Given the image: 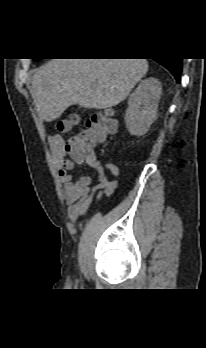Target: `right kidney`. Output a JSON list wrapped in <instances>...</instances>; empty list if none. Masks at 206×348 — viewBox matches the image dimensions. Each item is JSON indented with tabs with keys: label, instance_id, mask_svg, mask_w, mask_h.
<instances>
[{
	"label": "right kidney",
	"instance_id": "right-kidney-1",
	"mask_svg": "<svg viewBox=\"0 0 206 348\" xmlns=\"http://www.w3.org/2000/svg\"><path fill=\"white\" fill-rule=\"evenodd\" d=\"M161 92L160 81L150 77L142 80L130 95L125 124L131 135H144L156 120Z\"/></svg>",
	"mask_w": 206,
	"mask_h": 348
}]
</instances>
